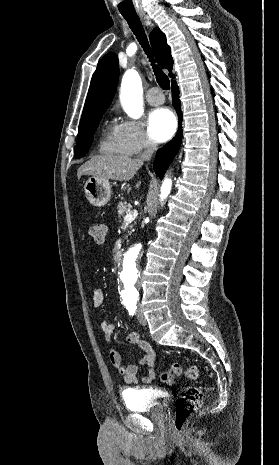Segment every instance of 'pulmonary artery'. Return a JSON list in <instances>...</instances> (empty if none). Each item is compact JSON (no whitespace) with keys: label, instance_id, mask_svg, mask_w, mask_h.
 Returning <instances> with one entry per match:
<instances>
[{"label":"pulmonary artery","instance_id":"obj_1","mask_svg":"<svg viewBox=\"0 0 279 465\" xmlns=\"http://www.w3.org/2000/svg\"><path fill=\"white\" fill-rule=\"evenodd\" d=\"M146 99L151 105H161L164 102V96L157 87L149 89Z\"/></svg>","mask_w":279,"mask_h":465}]
</instances>
